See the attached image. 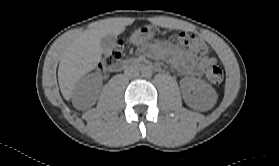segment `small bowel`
<instances>
[{
	"label": "small bowel",
	"instance_id": "c3829d8e",
	"mask_svg": "<svg viewBox=\"0 0 279 166\" xmlns=\"http://www.w3.org/2000/svg\"><path fill=\"white\" fill-rule=\"evenodd\" d=\"M152 53L155 56L168 59L180 73L185 75H200L206 67L215 63V59L209 56L196 62L176 45H157Z\"/></svg>",
	"mask_w": 279,
	"mask_h": 166
}]
</instances>
